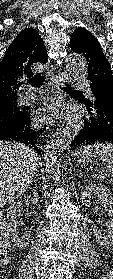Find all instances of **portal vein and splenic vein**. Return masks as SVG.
<instances>
[{"label":"portal vein and splenic vein","mask_w":113,"mask_h":279,"mask_svg":"<svg viewBox=\"0 0 113 279\" xmlns=\"http://www.w3.org/2000/svg\"><path fill=\"white\" fill-rule=\"evenodd\" d=\"M99 178H103V176L100 174V175H99Z\"/></svg>","instance_id":"obj_1"}]
</instances>
